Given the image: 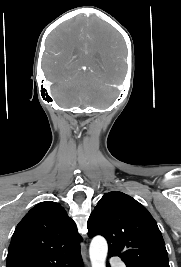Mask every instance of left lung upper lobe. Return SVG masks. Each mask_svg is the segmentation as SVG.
I'll list each match as a JSON object with an SVG mask.
<instances>
[{"mask_svg":"<svg viewBox=\"0 0 181 267\" xmlns=\"http://www.w3.org/2000/svg\"><path fill=\"white\" fill-rule=\"evenodd\" d=\"M88 236L106 238L109 253L126 267H170L165 243L149 211L131 196L112 191L91 213Z\"/></svg>","mask_w":181,"mask_h":267,"instance_id":"1","label":"left lung upper lobe"}]
</instances>
